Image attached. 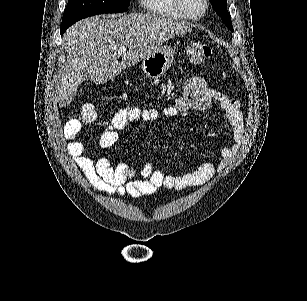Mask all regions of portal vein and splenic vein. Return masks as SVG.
Masks as SVG:
<instances>
[{"mask_svg":"<svg viewBox=\"0 0 307 301\" xmlns=\"http://www.w3.org/2000/svg\"><path fill=\"white\" fill-rule=\"evenodd\" d=\"M113 50H117L119 54H122V52H126L127 46H119V48H113Z\"/></svg>","mask_w":307,"mask_h":301,"instance_id":"obj_1","label":"portal vein and splenic vein"}]
</instances>
